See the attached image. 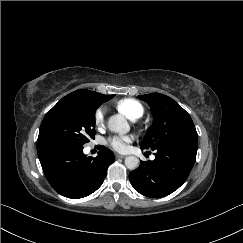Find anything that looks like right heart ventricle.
Wrapping results in <instances>:
<instances>
[{"mask_svg": "<svg viewBox=\"0 0 243 243\" xmlns=\"http://www.w3.org/2000/svg\"><path fill=\"white\" fill-rule=\"evenodd\" d=\"M115 108L132 121L139 119L144 113L142 104L132 98H126L117 101Z\"/></svg>", "mask_w": 243, "mask_h": 243, "instance_id": "e07e8e85", "label": "right heart ventricle"}]
</instances>
